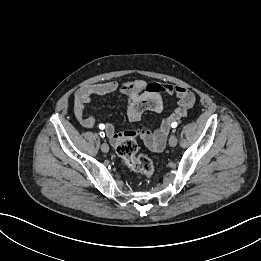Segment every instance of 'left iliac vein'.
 <instances>
[{
  "label": "left iliac vein",
  "instance_id": "4c4485c4",
  "mask_svg": "<svg viewBox=\"0 0 261 261\" xmlns=\"http://www.w3.org/2000/svg\"><path fill=\"white\" fill-rule=\"evenodd\" d=\"M178 139L175 135H171L169 138V145L175 147L177 145Z\"/></svg>",
  "mask_w": 261,
  "mask_h": 261
}]
</instances>
